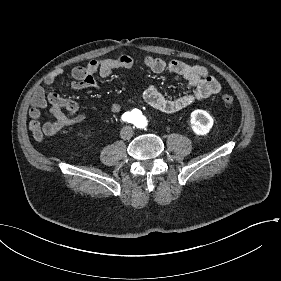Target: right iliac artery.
Instances as JSON below:
<instances>
[{"label":"right iliac artery","mask_w":281,"mask_h":281,"mask_svg":"<svg viewBox=\"0 0 281 281\" xmlns=\"http://www.w3.org/2000/svg\"><path fill=\"white\" fill-rule=\"evenodd\" d=\"M122 121L124 122H132V115L130 112H125L122 117H121Z\"/></svg>","instance_id":"right-iliac-artery-1"}]
</instances>
